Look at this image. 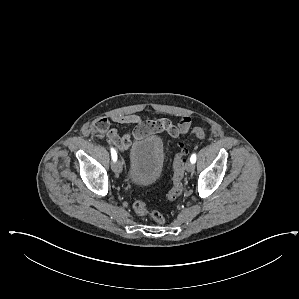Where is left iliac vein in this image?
Returning a JSON list of instances; mask_svg holds the SVG:
<instances>
[{"instance_id": "obj_1", "label": "left iliac vein", "mask_w": 299, "mask_h": 299, "mask_svg": "<svg viewBox=\"0 0 299 299\" xmlns=\"http://www.w3.org/2000/svg\"><path fill=\"white\" fill-rule=\"evenodd\" d=\"M185 169L187 172H193L194 171V164L191 161H188L185 164Z\"/></svg>"}]
</instances>
